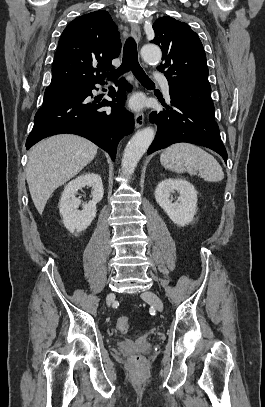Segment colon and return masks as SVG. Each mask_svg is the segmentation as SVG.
<instances>
[{
    "mask_svg": "<svg viewBox=\"0 0 265 407\" xmlns=\"http://www.w3.org/2000/svg\"><path fill=\"white\" fill-rule=\"evenodd\" d=\"M116 326L119 331L126 333L129 330V326H130L129 318L127 316L119 317L117 319ZM140 359H141L140 356L136 355L133 357V362L138 364V363H140Z\"/></svg>",
    "mask_w": 265,
    "mask_h": 407,
    "instance_id": "1",
    "label": "colon"
}]
</instances>
